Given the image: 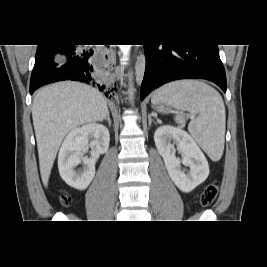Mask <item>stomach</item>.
I'll use <instances>...</instances> for the list:
<instances>
[{"mask_svg":"<svg viewBox=\"0 0 267 267\" xmlns=\"http://www.w3.org/2000/svg\"><path fill=\"white\" fill-rule=\"evenodd\" d=\"M153 106L160 113H168L171 105L166 102H158V103H153Z\"/></svg>","mask_w":267,"mask_h":267,"instance_id":"0dacf381","label":"stomach"}]
</instances>
